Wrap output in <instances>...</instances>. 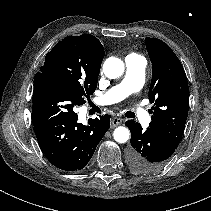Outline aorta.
<instances>
[{
    "label": "aorta",
    "instance_id": "obj_1",
    "mask_svg": "<svg viewBox=\"0 0 211 211\" xmlns=\"http://www.w3.org/2000/svg\"><path fill=\"white\" fill-rule=\"evenodd\" d=\"M124 69L123 61L116 57L107 58L103 64L104 74L110 79L120 77L124 73ZM113 136L118 143H125L129 139L130 132L128 128L119 126L114 130Z\"/></svg>",
    "mask_w": 211,
    "mask_h": 211
}]
</instances>
